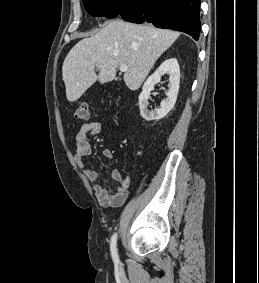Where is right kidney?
<instances>
[{"mask_svg":"<svg viewBox=\"0 0 259 283\" xmlns=\"http://www.w3.org/2000/svg\"><path fill=\"white\" fill-rule=\"evenodd\" d=\"M169 74V90L167 98L163 100L160 107L155 110L147 108L150 92L154 89V85L159 83L162 75ZM180 83V68L175 58L165 60L159 68L146 80L143 90L139 95V108L141 116L146 121L160 120L164 118L174 107Z\"/></svg>","mask_w":259,"mask_h":283,"instance_id":"obj_1","label":"right kidney"}]
</instances>
